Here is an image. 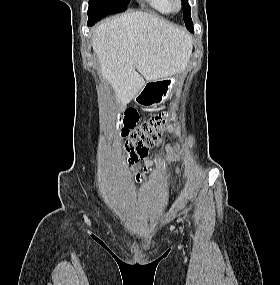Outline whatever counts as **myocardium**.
Returning a JSON list of instances; mask_svg holds the SVG:
<instances>
[{"instance_id": "f54148a6", "label": "myocardium", "mask_w": 280, "mask_h": 285, "mask_svg": "<svg viewBox=\"0 0 280 285\" xmlns=\"http://www.w3.org/2000/svg\"><path fill=\"white\" fill-rule=\"evenodd\" d=\"M170 9L173 12H178L183 7V1L182 0H168Z\"/></svg>"}]
</instances>
